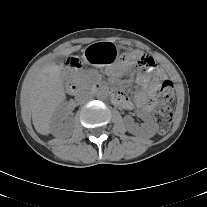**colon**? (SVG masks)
Here are the masks:
<instances>
[{
    "label": "colon",
    "mask_w": 207,
    "mask_h": 207,
    "mask_svg": "<svg viewBox=\"0 0 207 207\" xmlns=\"http://www.w3.org/2000/svg\"><path fill=\"white\" fill-rule=\"evenodd\" d=\"M137 65L149 74L155 73L159 67L158 61L155 58L147 57L143 54L138 55ZM173 98L174 86L171 81L164 80L159 86L156 96L155 121L160 134L166 133L171 126L173 113L165 103L170 102Z\"/></svg>",
    "instance_id": "colon-1"
}]
</instances>
